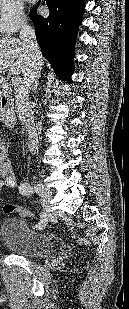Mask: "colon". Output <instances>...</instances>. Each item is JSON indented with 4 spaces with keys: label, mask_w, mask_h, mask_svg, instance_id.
Segmentation results:
<instances>
[{
    "label": "colon",
    "mask_w": 129,
    "mask_h": 309,
    "mask_svg": "<svg viewBox=\"0 0 129 309\" xmlns=\"http://www.w3.org/2000/svg\"><path fill=\"white\" fill-rule=\"evenodd\" d=\"M5 213H16L22 217H30L32 213L25 208L7 204L4 206Z\"/></svg>",
    "instance_id": "1"
}]
</instances>
